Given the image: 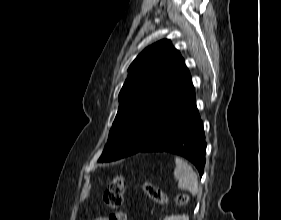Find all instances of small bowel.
Returning <instances> with one entry per match:
<instances>
[{"instance_id":"small-bowel-1","label":"small bowel","mask_w":281,"mask_h":220,"mask_svg":"<svg viewBox=\"0 0 281 220\" xmlns=\"http://www.w3.org/2000/svg\"><path fill=\"white\" fill-rule=\"evenodd\" d=\"M94 220H108L107 217H98V218H95Z\"/></svg>"}]
</instances>
